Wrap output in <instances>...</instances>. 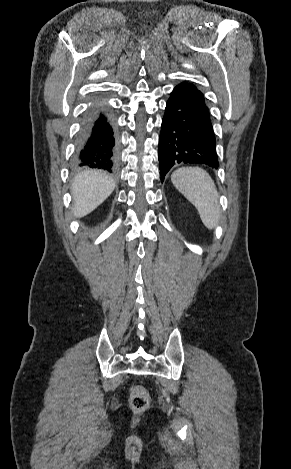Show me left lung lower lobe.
Returning <instances> with one entry per match:
<instances>
[{
    "label": "left lung lower lobe",
    "mask_w": 291,
    "mask_h": 469,
    "mask_svg": "<svg viewBox=\"0 0 291 469\" xmlns=\"http://www.w3.org/2000/svg\"><path fill=\"white\" fill-rule=\"evenodd\" d=\"M161 181L177 164L217 169L216 139L203 94L192 83L178 84L166 103L159 137Z\"/></svg>",
    "instance_id": "0a47b994"
}]
</instances>
